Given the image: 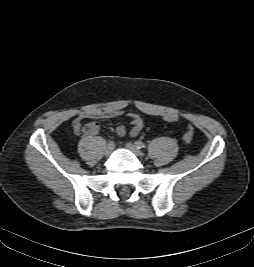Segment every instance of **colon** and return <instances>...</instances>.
Segmentation results:
<instances>
[{"mask_svg":"<svg viewBox=\"0 0 254 267\" xmlns=\"http://www.w3.org/2000/svg\"><path fill=\"white\" fill-rule=\"evenodd\" d=\"M165 120L169 123H174L178 120V116L176 114H169L165 116ZM193 128L191 126L187 127V130L183 136V139L186 143H190L193 138Z\"/></svg>","mask_w":254,"mask_h":267,"instance_id":"colon-1","label":"colon"}]
</instances>
